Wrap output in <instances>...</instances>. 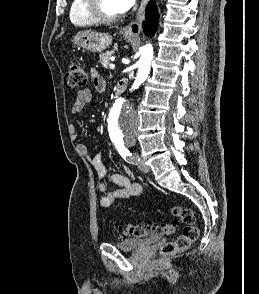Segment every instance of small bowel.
I'll list each match as a JSON object with an SVG mask.
<instances>
[{
  "label": "small bowel",
  "instance_id": "obj_1",
  "mask_svg": "<svg viewBox=\"0 0 259 294\" xmlns=\"http://www.w3.org/2000/svg\"><path fill=\"white\" fill-rule=\"evenodd\" d=\"M92 82L94 88L98 92H104L106 89L105 81L98 75L96 71H92ZM92 91L90 89L79 90L76 94L75 100L72 105V113L78 115L82 112L85 106L92 100ZM72 138H76L77 132L74 126L69 129ZM77 150L80 154L89 159L93 169L100 179L98 185L101 194L100 205L102 207H110L117 200L128 199L133 196H138L142 192V186L138 182L132 180L133 173L127 167L123 169V174L113 173L110 174L103 163L102 152L92 155L89 147L84 143L77 145ZM107 183H112L116 186L115 189H110Z\"/></svg>",
  "mask_w": 259,
  "mask_h": 294
}]
</instances>
